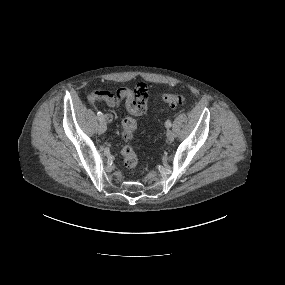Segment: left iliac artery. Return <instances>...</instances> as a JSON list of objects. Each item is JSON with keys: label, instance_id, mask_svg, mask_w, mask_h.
I'll use <instances>...</instances> for the list:
<instances>
[{"label": "left iliac artery", "instance_id": "obj_1", "mask_svg": "<svg viewBox=\"0 0 285 285\" xmlns=\"http://www.w3.org/2000/svg\"><path fill=\"white\" fill-rule=\"evenodd\" d=\"M165 126H166V128H170L172 126V124L170 121H166Z\"/></svg>", "mask_w": 285, "mask_h": 285}]
</instances>
